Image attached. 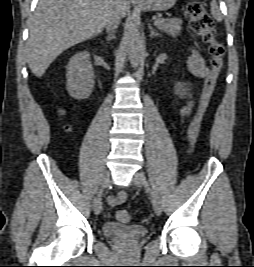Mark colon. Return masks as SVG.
<instances>
[{"instance_id": "colon-1", "label": "colon", "mask_w": 254, "mask_h": 267, "mask_svg": "<svg viewBox=\"0 0 254 267\" xmlns=\"http://www.w3.org/2000/svg\"><path fill=\"white\" fill-rule=\"evenodd\" d=\"M186 16L193 32L207 44L211 63V71L204 81L196 113L187 129L189 144L191 147H194L199 137L204 111L214 90L218 73L223 66L225 48L223 44L215 38L213 19L206 11L202 2L198 0H191L188 2L186 5ZM116 218L119 222L127 223L131 216L128 211L120 210L116 213Z\"/></svg>"}]
</instances>
